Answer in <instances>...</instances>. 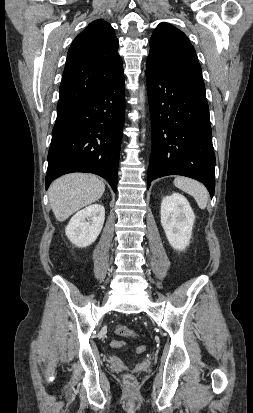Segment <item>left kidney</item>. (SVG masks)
<instances>
[{
  "label": "left kidney",
  "mask_w": 253,
  "mask_h": 413,
  "mask_svg": "<svg viewBox=\"0 0 253 413\" xmlns=\"http://www.w3.org/2000/svg\"><path fill=\"white\" fill-rule=\"evenodd\" d=\"M161 225L170 245L183 251L189 245L195 221L194 212L187 199L173 193L165 196L161 202Z\"/></svg>",
  "instance_id": "5707ae66"
}]
</instances>
